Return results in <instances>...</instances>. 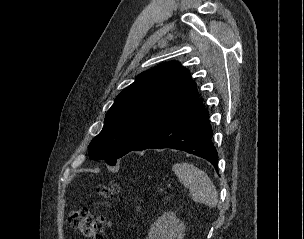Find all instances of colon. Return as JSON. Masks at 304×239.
<instances>
[{
	"label": "colon",
	"mask_w": 304,
	"mask_h": 239,
	"mask_svg": "<svg viewBox=\"0 0 304 239\" xmlns=\"http://www.w3.org/2000/svg\"><path fill=\"white\" fill-rule=\"evenodd\" d=\"M119 190L120 184L117 182L100 186L98 188L99 200L97 202L100 208L98 216L93 217L86 207L80 206L69 213V223L71 227L84 237L104 239L106 230L110 226L106 209Z\"/></svg>",
	"instance_id": "1"
}]
</instances>
